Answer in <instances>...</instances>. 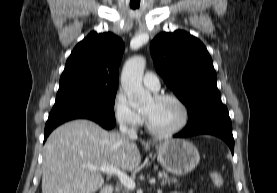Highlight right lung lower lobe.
<instances>
[{"label":"right lung lower lobe","instance_id":"obj_1","mask_svg":"<svg viewBox=\"0 0 277 193\" xmlns=\"http://www.w3.org/2000/svg\"><path fill=\"white\" fill-rule=\"evenodd\" d=\"M79 118L93 120L105 129H111L115 126V120L88 109L53 107L45 126L44 142L54 128L66 121Z\"/></svg>","mask_w":277,"mask_h":193}]
</instances>
